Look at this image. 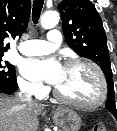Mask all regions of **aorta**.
Returning <instances> with one entry per match:
<instances>
[{
	"mask_svg": "<svg viewBox=\"0 0 117 131\" xmlns=\"http://www.w3.org/2000/svg\"><path fill=\"white\" fill-rule=\"evenodd\" d=\"M59 22V14L55 11H46L41 18V25L45 29L55 27Z\"/></svg>",
	"mask_w": 117,
	"mask_h": 131,
	"instance_id": "aorta-1",
	"label": "aorta"
}]
</instances>
